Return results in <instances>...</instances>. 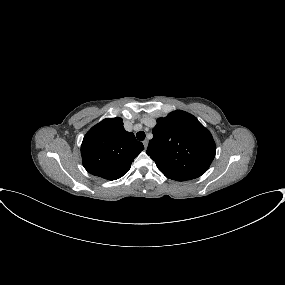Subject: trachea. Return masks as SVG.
I'll return each instance as SVG.
<instances>
[{
    "instance_id": "obj_1",
    "label": "trachea",
    "mask_w": 285,
    "mask_h": 285,
    "mask_svg": "<svg viewBox=\"0 0 285 285\" xmlns=\"http://www.w3.org/2000/svg\"><path fill=\"white\" fill-rule=\"evenodd\" d=\"M145 132L144 131H139L137 134H136V137L138 140L142 141L145 139Z\"/></svg>"
}]
</instances>
